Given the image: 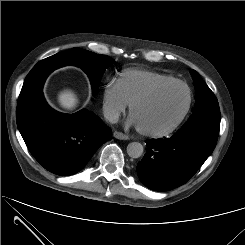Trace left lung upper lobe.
Listing matches in <instances>:
<instances>
[{
	"label": "left lung upper lobe",
	"mask_w": 245,
	"mask_h": 245,
	"mask_svg": "<svg viewBox=\"0 0 245 245\" xmlns=\"http://www.w3.org/2000/svg\"><path fill=\"white\" fill-rule=\"evenodd\" d=\"M196 89V104L192 115L180 129L206 128L219 132L220 110L217 98L195 70L191 71Z\"/></svg>",
	"instance_id": "1"
}]
</instances>
